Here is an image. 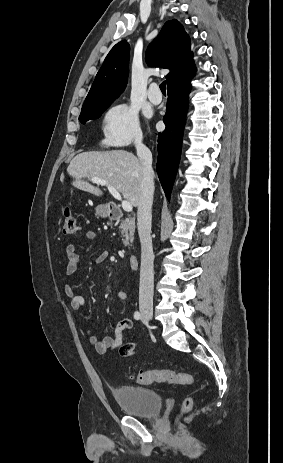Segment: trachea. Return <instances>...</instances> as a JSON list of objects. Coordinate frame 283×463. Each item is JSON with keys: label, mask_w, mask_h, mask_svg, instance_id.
I'll return each mask as SVG.
<instances>
[{"label": "trachea", "mask_w": 283, "mask_h": 463, "mask_svg": "<svg viewBox=\"0 0 283 463\" xmlns=\"http://www.w3.org/2000/svg\"><path fill=\"white\" fill-rule=\"evenodd\" d=\"M160 90L163 94L166 93V82L163 81L161 84H160Z\"/></svg>", "instance_id": "3493384b"}]
</instances>
